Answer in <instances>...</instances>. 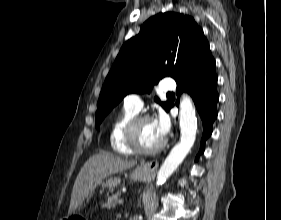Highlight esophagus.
I'll return each mask as SVG.
<instances>
[{
  "label": "esophagus",
  "instance_id": "34e87169",
  "mask_svg": "<svg viewBox=\"0 0 281 220\" xmlns=\"http://www.w3.org/2000/svg\"><path fill=\"white\" fill-rule=\"evenodd\" d=\"M158 165H159L158 160H152V161L148 162L145 167L148 170H155V169H157Z\"/></svg>",
  "mask_w": 281,
  "mask_h": 220
}]
</instances>
